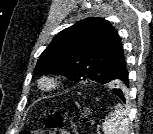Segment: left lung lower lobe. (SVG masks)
<instances>
[{
  "label": "left lung lower lobe",
  "mask_w": 153,
  "mask_h": 134,
  "mask_svg": "<svg viewBox=\"0 0 153 134\" xmlns=\"http://www.w3.org/2000/svg\"><path fill=\"white\" fill-rule=\"evenodd\" d=\"M119 79L129 86L128 72L126 67L119 73ZM113 92L123 101L125 102L124 92L120 89H113Z\"/></svg>",
  "instance_id": "left-lung-lower-lobe-1"
}]
</instances>
